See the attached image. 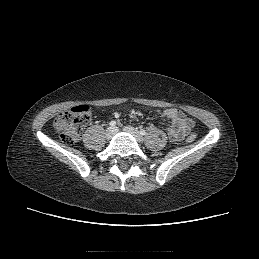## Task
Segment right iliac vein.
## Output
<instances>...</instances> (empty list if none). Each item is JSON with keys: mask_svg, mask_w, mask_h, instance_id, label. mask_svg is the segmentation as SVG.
I'll return each instance as SVG.
<instances>
[{"mask_svg": "<svg viewBox=\"0 0 259 259\" xmlns=\"http://www.w3.org/2000/svg\"><path fill=\"white\" fill-rule=\"evenodd\" d=\"M117 132V129L115 127H109L107 130H106V138L107 139H111Z\"/></svg>", "mask_w": 259, "mask_h": 259, "instance_id": "right-iliac-vein-1", "label": "right iliac vein"}]
</instances>
